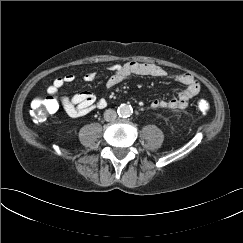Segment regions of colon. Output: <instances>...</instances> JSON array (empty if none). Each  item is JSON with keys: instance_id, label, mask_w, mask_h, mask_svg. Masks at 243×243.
<instances>
[{"instance_id": "colon-1", "label": "colon", "mask_w": 243, "mask_h": 243, "mask_svg": "<svg viewBox=\"0 0 243 243\" xmlns=\"http://www.w3.org/2000/svg\"><path fill=\"white\" fill-rule=\"evenodd\" d=\"M58 102L54 96L37 97L31 102L30 115L35 122H42L50 114L58 110ZM199 111L206 113L210 109L208 101L201 99L197 102Z\"/></svg>"}]
</instances>
